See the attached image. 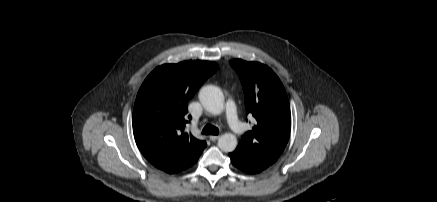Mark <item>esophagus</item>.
<instances>
[{
  "label": "esophagus",
  "instance_id": "1",
  "mask_svg": "<svg viewBox=\"0 0 437 202\" xmlns=\"http://www.w3.org/2000/svg\"><path fill=\"white\" fill-rule=\"evenodd\" d=\"M218 138H219V136H217V135H211V136H209V139H210L211 141H216Z\"/></svg>",
  "mask_w": 437,
  "mask_h": 202
}]
</instances>
